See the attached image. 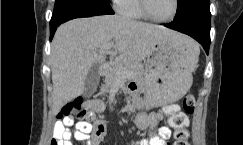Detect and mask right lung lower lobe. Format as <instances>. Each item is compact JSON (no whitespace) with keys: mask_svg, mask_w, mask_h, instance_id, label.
<instances>
[{"mask_svg":"<svg viewBox=\"0 0 243 145\" xmlns=\"http://www.w3.org/2000/svg\"><path fill=\"white\" fill-rule=\"evenodd\" d=\"M106 14H114V11L110 2L105 0H56L50 21V40L61 23L74 18Z\"/></svg>","mask_w":243,"mask_h":145,"instance_id":"1","label":"right lung lower lobe"}]
</instances>
